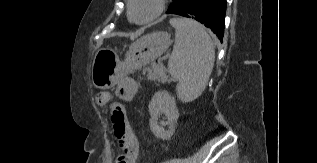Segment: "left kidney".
I'll return each mask as SVG.
<instances>
[{
  "label": "left kidney",
  "mask_w": 317,
  "mask_h": 163,
  "mask_svg": "<svg viewBox=\"0 0 317 163\" xmlns=\"http://www.w3.org/2000/svg\"><path fill=\"white\" fill-rule=\"evenodd\" d=\"M150 129L153 134L160 139H169L175 132L179 112L176 107V101L167 91H158L154 94L149 103ZM165 115L167 121H160V115ZM168 125V128L164 127Z\"/></svg>",
  "instance_id": "left-kidney-1"
}]
</instances>
